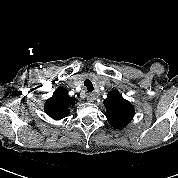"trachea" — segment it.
Masks as SVG:
<instances>
[{"label":"trachea","instance_id":"3493384b","mask_svg":"<svg viewBox=\"0 0 178 178\" xmlns=\"http://www.w3.org/2000/svg\"><path fill=\"white\" fill-rule=\"evenodd\" d=\"M84 85L88 92L93 91L94 87H93L92 82L89 79L85 80Z\"/></svg>","mask_w":178,"mask_h":178}]
</instances>
